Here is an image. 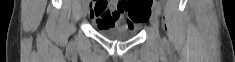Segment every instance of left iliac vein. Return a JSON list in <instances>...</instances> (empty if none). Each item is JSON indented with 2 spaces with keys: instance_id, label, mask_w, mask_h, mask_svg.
Here are the masks:
<instances>
[{
  "instance_id": "1",
  "label": "left iliac vein",
  "mask_w": 235,
  "mask_h": 62,
  "mask_svg": "<svg viewBox=\"0 0 235 62\" xmlns=\"http://www.w3.org/2000/svg\"><path fill=\"white\" fill-rule=\"evenodd\" d=\"M150 23L153 27V29L158 32V15L155 11H153L151 18H150Z\"/></svg>"
}]
</instances>
